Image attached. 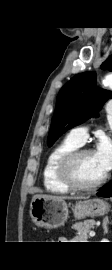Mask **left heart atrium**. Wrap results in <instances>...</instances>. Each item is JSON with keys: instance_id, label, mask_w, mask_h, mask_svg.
Listing matches in <instances>:
<instances>
[{"instance_id": "obj_1", "label": "left heart atrium", "mask_w": 112, "mask_h": 270, "mask_svg": "<svg viewBox=\"0 0 112 270\" xmlns=\"http://www.w3.org/2000/svg\"><path fill=\"white\" fill-rule=\"evenodd\" d=\"M94 155L101 171L106 174L112 169V143L104 138L97 144Z\"/></svg>"}]
</instances>
